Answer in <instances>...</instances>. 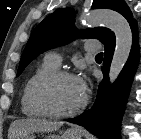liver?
I'll return each instance as SVG.
<instances>
[{
	"mask_svg": "<svg viewBox=\"0 0 141 139\" xmlns=\"http://www.w3.org/2000/svg\"><path fill=\"white\" fill-rule=\"evenodd\" d=\"M63 122H53L46 119L28 118L12 122L9 128V139H22L34 132H52L58 130Z\"/></svg>",
	"mask_w": 141,
	"mask_h": 139,
	"instance_id": "obj_1",
	"label": "liver"
}]
</instances>
